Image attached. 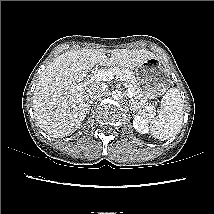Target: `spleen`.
Returning a JSON list of instances; mask_svg holds the SVG:
<instances>
[{
	"instance_id": "1",
	"label": "spleen",
	"mask_w": 214,
	"mask_h": 214,
	"mask_svg": "<svg viewBox=\"0 0 214 214\" xmlns=\"http://www.w3.org/2000/svg\"><path fill=\"white\" fill-rule=\"evenodd\" d=\"M159 115L142 116L147 126V132L155 139L160 141L168 140L175 137L181 129L184 114V101L181 99L180 92L177 88H171L163 97Z\"/></svg>"
}]
</instances>
